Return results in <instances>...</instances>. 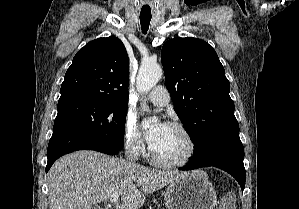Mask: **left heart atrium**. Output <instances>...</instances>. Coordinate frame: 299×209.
I'll return each instance as SVG.
<instances>
[{"label":"left heart atrium","mask_w":299,"mask_h":209,"mask_svg":"<svg viewBox=\"0 0 299 209\" xmlns=\"http://www.w3.org/2000/svg\"><path fill=\"white\" fill-rule=\"evenodd\" d=\"M166 126H167L166 124H159L158 126H156L155 128L151 129L146 133V139L150 146L155 144V142L163 133Z\"/></svg>","instance_id":"1"}]
</instances>
